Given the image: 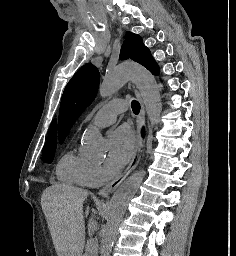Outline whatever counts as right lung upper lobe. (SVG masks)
<instances>
[{"instance_id": "1", "label": "right lung upper lobe", "mask_w": 236, "mask_h": 256, "mask_svg": "<svg viewBox=\"0 0 236 256\" xmlns=\"http://www.w3.org/2000/svg\"><path fill=\"white\" fill-rule=\"evenodd\" d=\"M47 142H57L56 139V121H54Z\"/></svg>"}]
</instances>
